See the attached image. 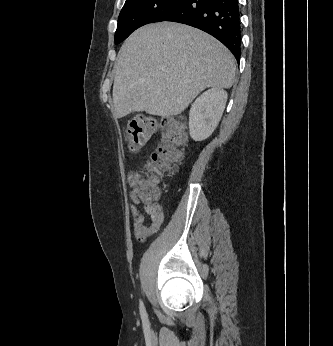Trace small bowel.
<instances>
[{"label": "small bowel", "instance_id": "1", "mask_svg": "<svg viewBox=\"0 0 333 346\" xmlns=\"http://www.w3.org/2000/svg\"><path fill=\"white\" fill-rule=\"evenodd\" d=\"M127 181L130 187L129 197L132 202L129 210L133 219L134 235L138 241H144L159 231L164 219L163 209L160 203L145 199L141 195L139 190L141 175L139 172L130 171ZM140 205L149 216L148 224L145 223V216L139 210Z\"/></svg>", "mask_w": 333, "mask_h": 346}]
</instances>
